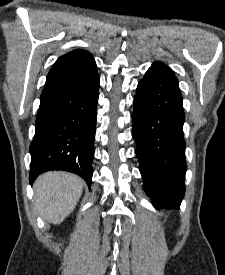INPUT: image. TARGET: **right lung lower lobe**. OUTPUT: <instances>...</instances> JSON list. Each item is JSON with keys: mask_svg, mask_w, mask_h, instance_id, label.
<instances>
[{"mask_svg": "<svg viewBox=\"0 0 225 275\" xmlns=\"http://www.w3.org/2000/svg\"><path fill=\"white\" fill-rule=\"evenodd\" d=\"M99 76L85 87L40 97L36 132L30 145L32 184L49 170H64L92 179Z\"/></svg>", "mask_w": 225, "mask_h": 275, "instance_id": "obj_1", "label": "right lung lower lobe"}]
</instances>
